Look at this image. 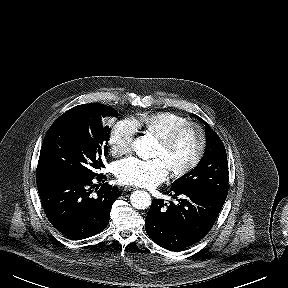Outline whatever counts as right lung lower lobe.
Here are the masks:
<instances>
[{
  "instance_id": "right-lung-lower-lobe-1",
  "label": "right lung lower lobe",
  "mask_w": 288,
  "mask_h": 288,
  "mask_svg": "<svg viewBox=\"0 0 288 288\" xmlns=\"http://www.w3.org/2000/svg\"><path fill=\"white\" fill-rule=\"evenodd\" d=\"M99 177L106 179L103 175ZM91 184L92 180L66 176L37 179L47 218L58 231L71 239H85L105 229L112 204L121 194L116 187L104 183L93 197L89 189Z\"/></svg>"
}]
</instances>
